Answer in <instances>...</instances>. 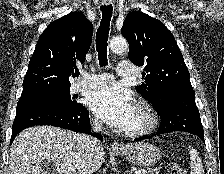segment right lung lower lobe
<instances>
[{
	"label": "right lung lower lobe",
	"mask_w": 224,
	"mask_h": 174,
	"mask_svg": "<svg viewBox=\"0 0 224 174\" xmlns=\"http://www.w3.org/2000/svg\"><path fill=\"white\" fill-rule=\"evenodd\" d=\"M38 125H52L75 132L92 134L101 141V134L90 132L89 112L80 103L65 106L48 97H24L17 104L11 143L22 130Z\"/></svg>",
	"instance_id": "obj_1"
}]
</instances>
